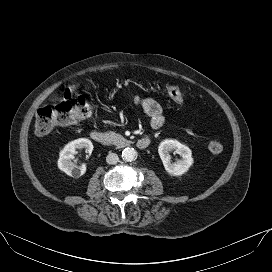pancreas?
<instances>
[{"mask_svg":"<svg viewBox=\"0 0 272 272\" xmlns=\"http://www.w3.org/2000/svg\"><path fill=\"white\" fill-rule=\"evenodd\" d=\"M107 135H108V139H109L110 143L114 144L117 147H122L126 143H128V141L122 135H120L118 133L109 132V133H107Z\"/></svg>","mask_w":272,"mask_h":272,"instance_id":"cf45deb5","label":"pancreas"}]
</instances>
